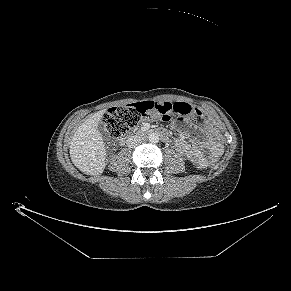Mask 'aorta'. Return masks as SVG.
Segmentation results:
<instances>
[{
  "label": "aorta",
  "mask_w": 291,
  "mask_h": 291,
  "mask_svg": "<svg viewBox=\"0 0 291 291\" xmlns=\"http://www.w3.org/2000/svg\"><path fill=\"white\" fill-rule=\"evenodd\" d=\"M149 142L150 143H158L159 142V136L156 133H152L149 135Z\"/></svg>",
  "instance_id": "aorta-1"
}]
</instances>
